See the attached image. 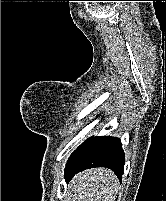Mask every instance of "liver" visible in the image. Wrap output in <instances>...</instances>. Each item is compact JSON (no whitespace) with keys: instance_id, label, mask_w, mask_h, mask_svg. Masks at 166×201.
Masks as SVG:
<instances>
[{"instance_id":"6515ba94","label":"liver","mask_w":166,"mask_h":201,"mask_svg":"<svg viewBox=\"0 0 166 201\" xmlns=\"http://www.w3.org/2000/svg\"><path fill=\"white\" fill-rule=\"evenodd\" d=\"M72 201H115L119 181L113 171L107 168L85 170L70 182Z\"/></svg>"}]
</instances>
